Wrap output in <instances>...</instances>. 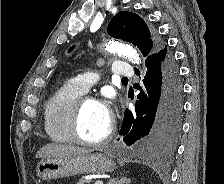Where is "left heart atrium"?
Returning a JSON list of instances; mask_svg holds the SVG:
<instances>
[{
    "mask_svg": "<svg viewBox=\"0 0 224 184\" xmlns=\"http://www.w3.org/2000/svg\"><path fill=\"white\" fill-rule=\"evenodd\" d=\"M101 105L105 108L107 114L110 116V111H109L108 106L106 104H102V103H101Z\"/></svg>",
    "mask_w": 224,
    "mask_h": 184,
    "instance_id": "left-heart-atrium-1",
    "label": "left heart atrium"
}]
</instances>
